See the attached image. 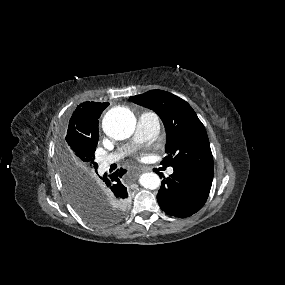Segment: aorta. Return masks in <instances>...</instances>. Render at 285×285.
Listing matches in <instances>:
<instances>
[{"instance_id": "762f6f07", "label": "aorta", "mask_w": 285, "mask_h": 285, "mask_svg": "<svg viewBox=\"0 0 285 285\" xmlns=\"http://www.w3.org/2000/svg\"><path fill=\"white\" fill-rule=\"evenodd\" d=\"M136 125L134 114L125 107H115L109 110L102 121L106 135L111 138L123 140L133 133ZM139 183L144 188L155 190L160 187V177L153 172L144 173L139 178Z\"/></svg>"}]
</instances>
